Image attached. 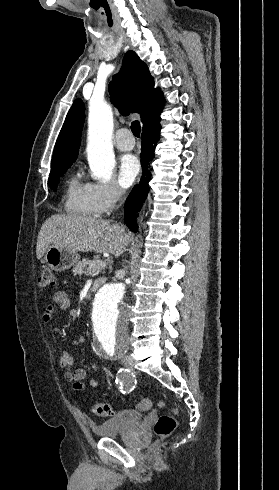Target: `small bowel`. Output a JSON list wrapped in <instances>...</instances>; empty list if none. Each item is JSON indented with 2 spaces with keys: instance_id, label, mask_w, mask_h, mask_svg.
<instances>
[{
  "instance_id": "obj_1",
  "label": "small bowel",
  "mask_w": 279,
  "mask_h": 490,
  "mask_svg": "<svg viewBox=\"0 0 279 490\" xmlns=\"http://www.w3.org/2000/svg\"><path fill=\"white\" fill-rule=\"evenodd\" d=\"M70 307V299L65 292L59 291L53 295L52 302L48 305L46 312L44 314V319L49 321L53 319V317L59 311H64L69 309ZM84 342V338L82 336L76 337L73 339L65 349L62 350L59 356V366L63 370L64 379L73 384L74 389H82L84 385L81 383L83 379L86 377V371L83 368H78L76 370H72V355L71 350L82 345ZM93 369L97 373H101V368L98 364L94 363L92 365ZM88 384L91 387H97L99 382L96 379H89Z\"/></svg>"
}]
</instances>
